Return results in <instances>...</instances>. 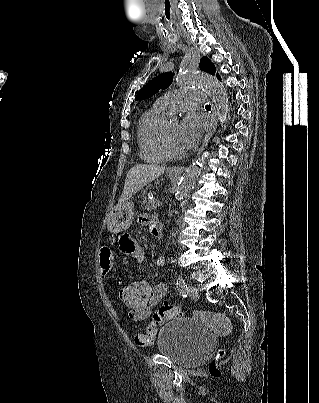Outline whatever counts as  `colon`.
Returning <instances> with one entry per match:
<instances>
[{
  "label": "colon",
  "instance_id": "5ec220e1",
  "mask_svg": "<svg viewBox=\"0 0 319 403\" xmlns=\"http://www.w3.org/2000/svg\"><path fill=\"white\" fill-rule=\"evenodd\" d=\"M121 250V248H120ZM131 257V256H130ZM117 268H130L131 260L122 261L121 259L116 260ZM122 276V273H119ZM115 287H122V300L123 308L122 315H127V313H148L149 310V291H151V282H123L122 278L114 279ZM183 311L179 305L174 304H164L162 305L152 316V322L147 326L144 333L136 334L134 341L138 346L147 347L150 346L155 338L159 328L166 321L176 319L182 315ZM225 351L220 349L213 361H212V372L216 371V363L223 358Z\"/></svg>",
  "mask_w": 319,
  "mask_h": 403
}]
</instances>
